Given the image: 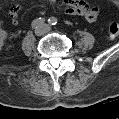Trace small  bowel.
<instances>
[{
  "mask_svg": "<svg viewBox=\"0 0 119 119\" xmlns=\"http://www.w3.org/2000/svg\"><path fill=\"white\" fill-rule=\"evenodd\" d=\"M64 4L66 5L65 12L68 15H79L83 16L87 21L94 22L98 17V8L89 5L83 1L75 0H65ZM20 11V6H13L8 13V16L14 24L18 23V14Z\"/></svg>",
  "mask_w": 119,
  "mask_h": 119,
  "instance_id": "1",
  "label": "small bowel"
}]
</instances>
